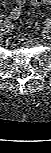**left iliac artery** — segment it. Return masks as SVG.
<instances>
[{
    "instance_id": "obj_1",
    "label": "left iliac artery",
    "mask_w": 51,
    "mask_h": 153,
    "mask_svg": "<svg viewBox=\"0 0 51 153\" xmlns=\"http://www.w3.org/2000/svg\"><path fill=\"white\" fill-rule=\"evenodd\" d=\"M49 24L51 25V19H48Z\"/></svg>"
}]
</instances>
